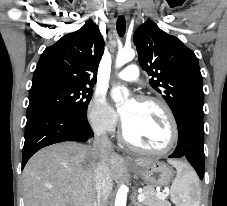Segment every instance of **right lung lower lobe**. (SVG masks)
Masks as SVG:
<instances>
[{
	"mask_svg": "<svg viewBox=\"0 0 227 206\" xmlns=\"http://www.w3.org/2000/svg\"><path fill=\"white\" fill-rule=\"evenodd\" d=\"M93 133L85 116L42 110L27 116L22 169L29 158L43 147L64 142H86Z\"/></svg>",
	"mask_w": 227,
	"mask_h": 206,
	"instance_id": "1",
	"label": "right lung lower lobe"
}]
</instances>
